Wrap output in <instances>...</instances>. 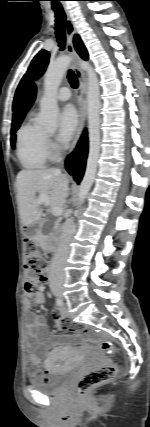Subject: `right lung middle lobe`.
<instances>
[{
	"mask_svg": "<svg viewBox=\"0 0 150 427\" xmlns=\"http://www.w3.org/2000/svg\"><path fill=\"white\" fill-rule=\"evenodd\" d=\"M20 124H21V122L12 124V129H11V135H12L11 142H12V146H14V143H15V132L19 128Z\"/></svg>",
	"mask_w": 150,
	"mask_h": 427,
	"instance_id": "dd1d6c3e",
	"label": "right lung middle lobe"
}]
</instances>
